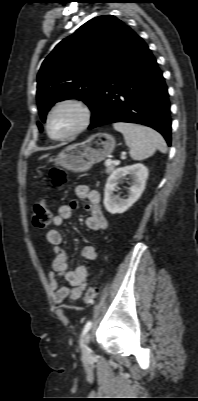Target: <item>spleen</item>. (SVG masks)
Segmentation results:
<instances>
[{
    "label": "spleen",
    "instance_id": "obj_1",
    "mask_svg": "<svg viewBox=\"0 0 198 401\" xmlns=\"http://www.w3.org/2000/svg\"><path fill=\"white\" fill-rule=\"evenodd\" d=\"M113 127L123 134L133 160H144L152 156L156 150L162 153L167 151L164 138L149 127L123 122L114 123Z\"/></svg>",
    "mask_w": 198,
    "mask_h": 401
}]
</instances>
